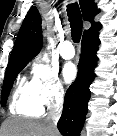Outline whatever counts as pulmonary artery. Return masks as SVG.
I'll return each instance as SVG.
<instances>
[{
	"label": "pulmonary artery",
	"mask_w": 117,
	"mask_h": 136,
	"mask_svg": "<svg viewBox=\"0 0 117 136\" xmlns=\"http://www.w3.org/2000/svg\"><path fill=\"white\" fill-rule=\"evenodd\" d=\"M60 54L65 59H71L75 55V49L71 43V41L66 40L62 43Z\"/></svg>",
	"instance_id": "1"
}]
</instances>
